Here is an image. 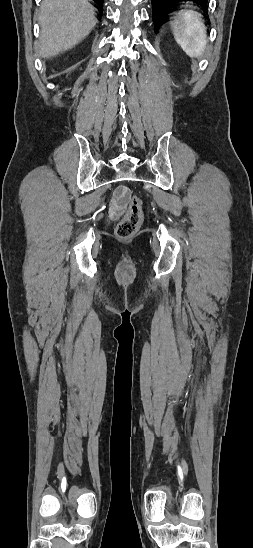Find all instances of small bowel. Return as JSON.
<instances>
[{
  "instance_id": "c3829d8e",
  "label": "small bowel",
  "mask_w": 253,
  "mask_h": 548,
  "mask_svg": "<svg viewBox=\"0 0 253 548\" xmlns=\"http://www.w3.org/2000/svg\"><path fill=\"white\" fill-rule=\"evenodd\" d=\"M129 198V189L126 186H118L110 203L109 215L112 218L120 217L127 206Z\"/></svg>"
}]
</instances>
